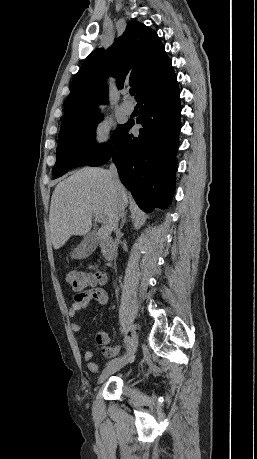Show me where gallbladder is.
Here are the masks:
<instances>
[{
  "instance_id": "1",
  "label": "gallbladder",
  "mask_w": 257,
  "mask_h": 459,
  "mask_svg": "<svg viewBox=\"0 0 257 459\" xmlns=\"http://www.w3.org/2000/svg\"><path fill=\"white\" fill-rule=\"evenodd\" d=\"M97 247V236L90 232L86 234L83 240L73 249L71 257L74 259H84L90 256Z\"/></svg>"
}]
</instances>
